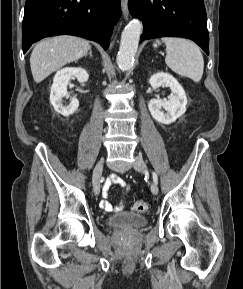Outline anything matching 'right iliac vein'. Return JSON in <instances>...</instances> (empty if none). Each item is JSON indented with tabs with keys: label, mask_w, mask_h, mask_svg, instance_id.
Instances as JSON below:
<instances>
[{
	"label": "right iliac vein",
	"mask_w": 243,
	"mask_h": 289,
	"mask_svg": "<svg viewBox=\"0 0 243 289\" xmlns=\"http://www.w3.org/2000/svg\"><path fill=\"white\" fill-rule=\"evenodd\" d=\"M104 159H101L94 168L92 184L95 195L100 193V179L103 172Z\"/></svg>",
	"instance_id": "obj_1"
}]
</instances>
